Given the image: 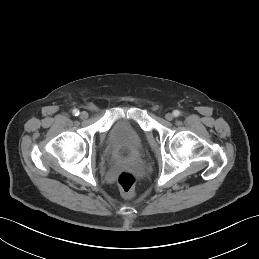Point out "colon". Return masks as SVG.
Wrapping results in <instances>:
<instances>
[{
    "instance_id": "1",
    "label": "colon",
    "mask_w": 259,
    "mask_h": 259,
    "mask_svg": "<svg viewBox=\"0 0 259 259\" xmlns=\"http://www.w3.org/2000/svg\"><path fill=\"white\" fill-rule=\"evenodd\" d=\"M121 193L126 197L135 195L136 177L129 171H122L117 178Z\"/></svg>"
}]
</instances>
